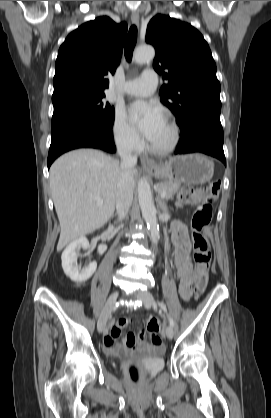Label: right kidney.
I'll list each match as a JSON object with an SVG mask.
<instances>
[{
	"label": "right kidney",
	"instance_id": "right-kidney-1",
	"mask_svg": "<svg viewBox=\"0 0 271 418\" xmlns=\"http://www.w3.org/2000/svg\"><path fill=\"white\" fill-rule=\"evenodd\" d=\"M89 247V241L85 237H79L72 241L63 251L62 268L64 273L74 282L82 283L87 281L96 271L97 263L92 262L88 267L81 268V265L77 264L78 251L87 249Z\"/></svg>",
	"mask_w": 271,
	"mask_h": 418
}]
</instances>
